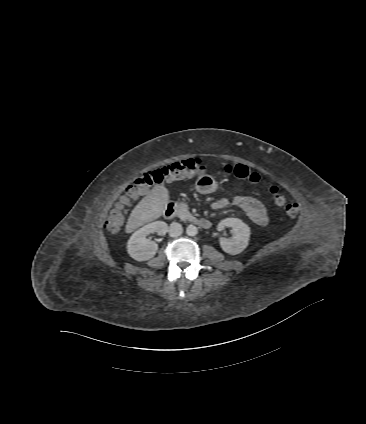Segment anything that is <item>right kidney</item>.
Instances as JSON below:
<instances>
[{
	"mask_svg": "<svg viewBox=\"0 0 366 424\" xmlns=\"http://www.w3.org/2000/svg\"><path fill=\"white\" fill-rule=\"evenodd\" d=\"M168 231V225L163 221L149 223L135 231L127 243L128 254L137 261H147L154 257L158 250V245L154 241L147 239L151 233L163 236Z\"/></svg>",
	"mask_w": 366,
	"mask_h": 424,
	"instance_id": "obj_1",
	"label": "right kidney"
}]
</instances>
